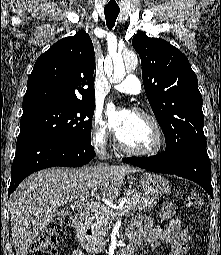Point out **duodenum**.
<instances>
[{
    "mask_svg": "<svg viewBox=\"0 0 221 255\" xmlns=\"http://www.w3.org/2000/svg\"><path fill=\"white\" fill-rule=\"evenodd\" d=\"M73 224L79 230L81 237L84 242H90L93 234L88 217L83 213H77L73 217ZM141 240L137 237L129 238V241L125 248L117 252L116 255H134V253L140 247Z\"/></svg>",
    "mask_w": 221,
    "mask_h": 255,
    "instance_id": "obj_1",
    "label": "duodenum"
}]
</instances>
